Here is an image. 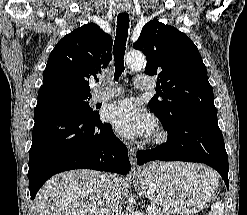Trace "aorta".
Returning a JSON list of instances; mask_svg holds the SVG:
<instances>
[{
    "instance_id": "1",
    "label": "aorta",
    "mask_w": 247,
    "mask_h": 215,
    "mask_svg": "<svg viewBox=\"0 0 247 215\" xmlns=\"http://www.w3.org/2000/svg\"><path fill=\"white\" fill-rule=\"evenodd\" d=\"M126 63L132 69H139L145 65L146 59L143 53L132 51L127 54Z\"/></svg>"
}]
</instances>
